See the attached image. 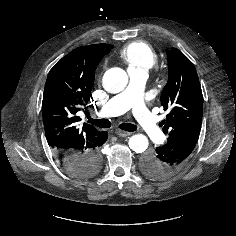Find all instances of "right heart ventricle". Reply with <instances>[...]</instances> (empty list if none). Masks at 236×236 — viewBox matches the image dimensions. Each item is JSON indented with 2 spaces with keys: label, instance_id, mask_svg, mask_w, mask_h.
Instances as JSON below:
<instances>
[{
  "label": "right heart ventricle",
  "instance_id": "e07e8e85",
  "mask_svg": "<svg viewBox=\"0 0 236 236\" xmlns=\"http://www.w3.org/2000/svg\"><path fill=\"white\" fill-rule=\"evenodd\" d=\"M120 57L127 64L128 70L148 71L157 64L158 56L146 42L135 41L124 46Z\"/></svg>",
  "mask_w": 236,
  "mask_h": 236
}]
</instances>
